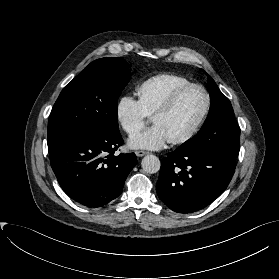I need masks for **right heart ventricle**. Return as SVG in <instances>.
Instances as JSON below:
<instances>
[{"label":"right heart ventricle","instance_id":"right-heart-ventricle-1","mask_svg":"<svg viewBox=\"0 0 279 279\" xmlns=\"http://www.w3.org/2000/svg\"><path fill=\"white\" fill-rule=\"evenodd\" d=\"M188 83V78L173 73L151 76L136 88L139 103L146 115L152 116L175 89Z\"/></svg>","mask_w":279,"mask_h":279}]
</instances>
